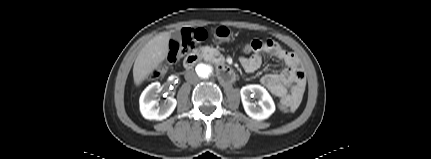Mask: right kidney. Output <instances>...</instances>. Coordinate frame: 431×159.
Returning a JSON list of instances; mask_svg holds the SVG:
<instances>
[{
  "label": "right kidney",
  "mask_w": 431,
  "mask_h": 159,
  "mask_svg": "<svg viewBox=\"0 0 431 159\" xmlns=\"http://www.w3.org/2000/svg\"><path fill=\"white\" fill-rule=\"evenodd\" d=\"M159 88L160 83L154 82L150 84L140 96V112L145 119H166L172 114L177 105V101L174 98H169L163 105H160L157 100L153 99Z\"/></svg>",
  "instance_id": "obj_1"
}]
</instances>
